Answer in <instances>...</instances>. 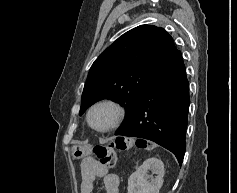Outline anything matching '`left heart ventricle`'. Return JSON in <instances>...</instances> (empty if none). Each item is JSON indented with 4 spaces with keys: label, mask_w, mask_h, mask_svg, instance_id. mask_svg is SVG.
I'll list each match as a JSON object with an SVG mask.
<instances>
[{
    "label": "left heart ventricle",
    "mask_w": 237,
    "mask_h": 193,
    "mask_svg": "<svg viewBox=\"0 0 237 193\" xmlns=\"http://www.w3.org/2000/svg\"><path fill=\"white\" fill-rule=\"evenodd\" d=\"M112 118L113 111L109 108L102 107L92 114L91 120L95 127L103 128L111 122Z\"/></svg>",
    "instance_id": "obj_1"
}]
</instances>
